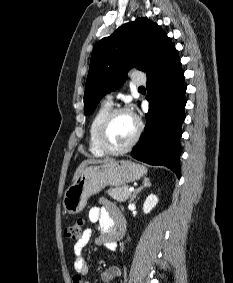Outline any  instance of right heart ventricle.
I'll use <instances>...</instances> for the list:
<instances>
[{"label": "right heart ventricle", "mask_w": 233, "mask_h": 283, "mask_svg": "<svg viewBox=\"0 0 233 283\" xmlns=\"http://www.w3.org/2000/svg\"><path fill=\"white\" fill-rule=\"evenodd\" d=\"M112 109V104L102 103L99 108L96 110L94 115L91 118L89 129H88V147L92 155L96 157H102L105 153L99 148L97 144V132L98 128L103 121L104 117Z\"/></svg>", "instance_id": "e07e8e85"}]
</instances>
